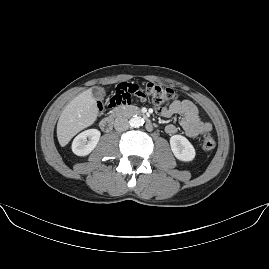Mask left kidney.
Instances as JSON below:
<instances>
[{
    "label": "left kidney",
    "instance_id": "obj_1",
    "mask_svg": "<svg viewBox=\"0 0 269 269\" xmlns=\"http://www.w3.org/2000/svg\"><path fill=\"white\" fill-rule=\"evenodd\" d=\"M170 146L175 157L181 161H191L195 157L193 145L184 136L173 135L170 138Z\"/></svg>",
    "mask_w": 269,
    "mask_h": 269
}]
</instances>
